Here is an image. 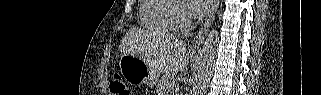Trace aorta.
<instances>
[{
    "label": "aorta",
    "instance_id": "obj_1",
    "mask_svg": "<svg viewBox=\"0 0 321 95\" xmlns=\"http://www.w3.org/2000/svg\"><path fill=\"white\" fill-rule=\"evenodd\" d=\"M218 38V32L212 30L204 42L197 58L190 95H205L207 91L216 57Z\"/></svg>",
    "mask_w": 321,
    "mask_h": 95
}]
</instances>
